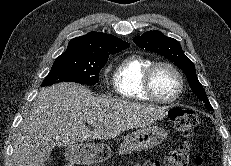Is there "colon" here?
Returning <instances> with one entry per match:
<instances>
[{"mask_svg": "<svg viewBox=\"0 0 231 166\" xmlns=\"http://www.w3.org/2000/svg\"><path fill=\"white\" fill-rule=\"evenodd\" d=\"M169 117L173 121L177 131L184 137H190L196 128L199 118L195 111L190 109L172 108ZM189 145L187 143L179 145L173 149L165 158L164 166H188ZM197 166H204L207 160L198 156L195 160ZM137 166H160L158 160H146Z\"/></svg>", "mask_w": 231, "mask_h": 166, "instance_id": "5ec220e1", "label": "colon"}]
</instances>
